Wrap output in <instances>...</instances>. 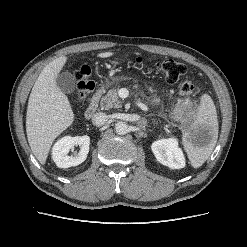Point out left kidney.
Segmentation results:
<instances>
[{
    "mask_svg": "<svg viewBox=\"0 0 247 247\" xmlns=\"http://www.w3.org/2000/svg\"><path fill=\"white\" fill-rule=\"evenodd\" d=\"M151 149L161 164L172 169L185 167V158L176 138L157 140L152 143Z\"/></svg>",
    "mask_w": 247,
    "mask_h": 247,
    "instance_id": "1",
    "label": "left kidney"
}]
</instances>
